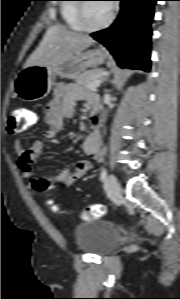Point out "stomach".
Returning a JSON list of instances; mask_svg holds the SVG:
<instances>
[{"label":"stomach","instance_id":"obj_1","mask_svg":"<svg viewBox=\"0 0 180 299\" xmlns=\"http://www.w3.org/2000/svg\"><path fill=\"white\" fill-rule=\"evenodd\" d=\"M106 60L100 49L80 51L71 57L48 66L30 65L23 67L15 79L16 94L23 101L34 102L46 97L56 76L76 78L89 67L102 65Z\"/></svg>","mask_w":180,"mask_h":299}]
</instances>
